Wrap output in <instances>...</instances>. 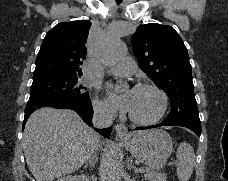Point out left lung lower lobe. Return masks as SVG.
<instances>
[{
    "instance_id": "1",
    "label": "left lung lower lobe",
    "mask_w": 228,
    "mask_h": 181,
    "mask_svg": "<svg viewBox=\"0 0 228 181\" xmlns=\"http://www.w3.org/2000/svg\"><path fill=\"white\" fill-rule=\"evenodd\" d=\"M160 126H172V125L162 122L160 124L149 126V127H138V128H136V130H144V129L156 128V127H160ZM184 127H186V126H184ZM187 128H189L190 130H192L193 132H195L198 136H200V134H201V127L187 126Z\"/></svg>"
}]
</instances>
